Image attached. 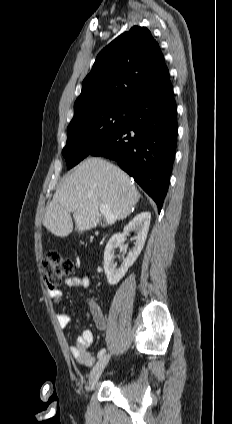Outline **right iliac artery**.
Wrapping results in <instances>:
<instances>
[{
    "mask_svg": "<svg viewBox=\"0 0 232 424\" xmlns=\"http://www.w3.org/2000/svg\"><path fill=\"white\" fill-rule=\"evenodd\" d=\"M105 352H106L105 348L101 349V350L98 352L97 357H98V358H101V357L104 355V353H105Z\"/></svg>",
    "mask_w": 232,
    "mask_h": 424,
    "instance_id": "1",
    "label": "right iliac artery"
}]
</instances>
